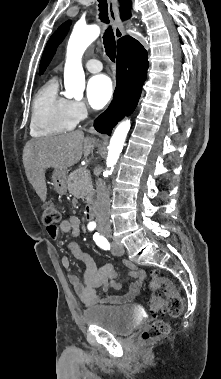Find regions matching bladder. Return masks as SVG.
I'll return each mask as SVG.
<instances>
[{
	"label": "bladder",
	"mask_w": 221,
	"mask_h": 379,
	"mask_svg": "<svg viewBox=\"0 0 221 379\" xmlns=\"http://www.w3.org/2000/svg\"><path fill=\"white\" fill-rule=\"evenodd\" d=\"M86 323L102 327L114 335H127L140 323L141 318L131 306L100 305L83 312Z\"/></svg>",
	"instance_id": "obj_1"
}]
</instances>
